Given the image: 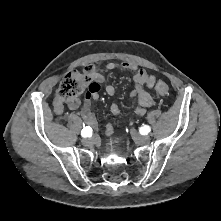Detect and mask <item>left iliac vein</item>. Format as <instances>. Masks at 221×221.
<instances>
[{"mask_svg": "<svg viewBox=\"0 0 221 221\" xmlns=\"http://www.w3.org/2000/svg\"><path fill=\"white\" fill-rule=\"evenodd\" d=\"M131 136L137 144L144 145L150 142V137L147 135H141L136 130H130Z\"/></svg>", "mask_w": 221, "mask_h": 221, "instance_id": "4c4485c4", "label": "left iliac vein"}]
</instances>
